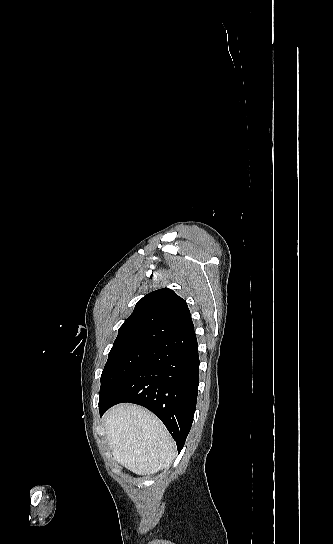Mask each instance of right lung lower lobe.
Wrapping results in <instances>:
<instances>
[{"instance_id":"right-lung-lower-lobe-1","label":"right lung lower lobe","mask_w":333,"mask_h":544,"mask_svg":"<svg viewBox=\"0 0 333 544\" xmlns=\"http://www.w3.org/2000/svg\"><path fill=\"white\" fill-rule=\"evenodd\" d=\"M199 383V355L195 331L158 342L129 380L103 406L121 402L146 407L165 424L180 452L191 429Z\"/></svg>"}]
</instances>
